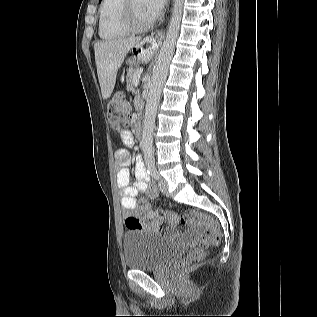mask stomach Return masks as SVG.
I'll use <instances>...</instances> for the list:
<instances>
[{"label":"stomach","instance_id":"1","mask_svg":"<svg viewBox=\"0 0 317 317\" xmlns=\"http://www.w3.org/2000/svg\"><path fill=\"white\" fill-rule=\"evenodd\" d=\"M126 68H118V72L114 73V87L117 91H126L127 84L129 81L126 79L131 72V66L139 65V56L138 55H127L126 56Z\"/></svg>","mask_w":317,"mask_h":317}]
</instances>
